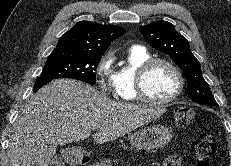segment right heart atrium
I'll list each match as a JSON object with an SVG mask.
<instances>
[{
  "mask_svg": "<svg viewBox=\"0 0 231 166\" xmlns=\"http://www.w3.org/2000/svg\"><path fill=\"white\" fill-rule=\"evenodd\" d=\"M114 54L107 52L99 61L95 76L100 90L107 95L117 94V74L113 67Z\"/></svg>",
  "mask_w": 231,
  "mask_h": 166,
  "instance_id": "d8ad5b80",
  "label": "right heart atrium"
}]
</instances>
